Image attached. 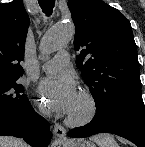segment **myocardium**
Here are the masks:
<instances>
[{
  "mask_svg": "<svg viewBox=\"0 0 145 147\" xmlns=\"http://www.w3.org/2000/svg\"><path fill=\"white\" fill-rule=\"evenodd\" d=\"M86 105L85 111L81 115H68L66 123L70 126H84L93 121L98 112V104L93 94L87 90L80 91L78 95Z\"/></svg>",
  "mask_w": 145,
  "mask_h": 147,
  "instance_id": "1",
  "label": "myocardium"
}]
</instances>
